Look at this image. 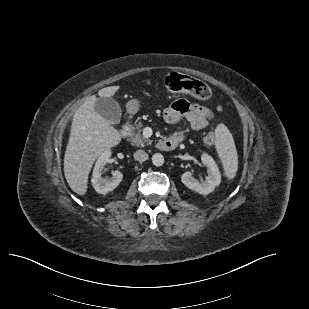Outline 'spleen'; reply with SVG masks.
I'll list each match as a JSON object with an SVG mask.
<instances>
[{
  "mask_svg": "<svg viewBox=\"0 0 309 309\" xmlns=\"http://www.w3.org/2000/svg\"><path fill=\"white\" fill-rule=\"evenodd\" d=\"M216 150L222 162L225 175L233 179L238 169V155L232 134L224 124L217 125L215 129Z\"/></svg>",
  "mask_w": 309,
  "mask_h": 309,
  "instance_id": "obj_1",
  "label": "spleen"
}]
</instances>
